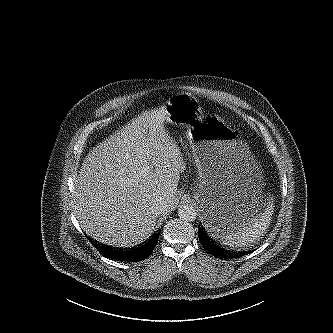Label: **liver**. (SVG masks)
<instances>
[{"label": "liver", "instance_id": "liver-1", "mask_svg": "<svg viewBox=\"0 0 333 333\" xmlns=\"http://www.w3.org/2000/svg\"><path fill=\"white\" fill-rule=\"evenodd\" d=\"M165 107L145 112L93 149L74 186L81 228L97 241L133 247L154 230L159 198L174 208L186 165L164 127Z\"/></svg>", "mask_w": 333, "mask_h": 333}]
</instances>
